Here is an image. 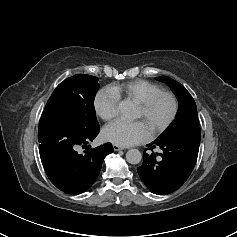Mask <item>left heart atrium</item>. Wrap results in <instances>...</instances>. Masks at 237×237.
<instances>
[{
	"label": "left heart atrium",
	"mask_w": 237,
	"mask_h": 237,
	"mask_svg": "<svg viewBox=\"0 0 237 237\" xmlns=\"http://www.w3.org/2000/svg\"><path fill=\"white\" fill-rule=\"evenodd\" d=\"M103 138L120 147L140 144L149 139L150 133L142 122H114L102 131Z\"/></svg>",
	"instance_id": "obj_1"
}]
</instances>
